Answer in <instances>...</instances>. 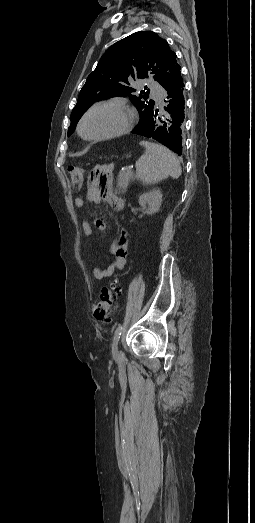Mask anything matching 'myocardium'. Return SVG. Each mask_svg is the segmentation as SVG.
<instances>
[{"mask_svg":"<svg viewBox=\"0 0 255 523\" xmlns=\"http://www.w3.org/2000/svg\"><path fill=\"white\" fill-rule=\"evenodd\" d=\"M101 107H111V108H116L119 110H126L129 113V120L126 123V125L124 126V128L118 132H115V133H112L109 135H105V136H100V137H86L82 132L84 120L91 111H93L94 109H97V108H101ZM137 122H138V113L133 106L123 103V102H101V103L92 105L82 114V116L80 117L79 122H78L77 130H78V134L80 135V137L82 139H84L86 141H91V142H101V141L116 139V138L129 134Z\"/></svg>","mask_w":255,"mask_h":523,"instance_id":"obj_1","label":"myocardium"}]
</instances>
